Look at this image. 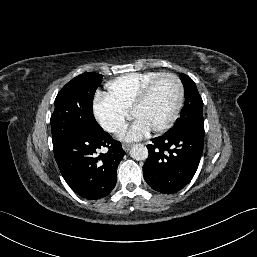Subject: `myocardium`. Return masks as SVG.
Returning a JSON list of instances; mask_svg holds the SVG:
<instances>
[{
    "label": "myocardium",
    "mask_w": 257,
    "mask_h": 257,
    "mask_svg": "<svg viewBox=\"0 0 257 257\" xmlns=\"http://www.w3.org/2000/svg\"><path fill=\"white\" fill-rule=\"evenodd\" d=\"M163 78H171L175 81V83L177 85V89H178V96H177L176 105L174 107V110H173L171 116L163 125L152 130L155 133H162V132L167 131L174 125V123L176 122V120L179 117V114H180V111L182 109L183 102H184L185 92H184V85L178 75H176L174 73H169V72L161 73L160 75H158L156 78H154L150 83H148L144 87V89L140 92L139 96L137 97L135 103L133 104V106L130 110L131 114L133 115L138 109H140L147 102L153 89Z\"/></svg>",
    "instance_id": "obj_1"
}]
</instances>
